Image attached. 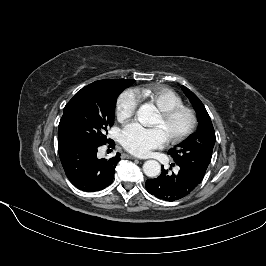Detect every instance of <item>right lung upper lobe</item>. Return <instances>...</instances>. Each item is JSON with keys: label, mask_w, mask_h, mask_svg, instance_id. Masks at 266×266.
<instances>
[{"label": "right lung upper lobe", "mask_w": 266, "mask_h": 266, "mask_svg": "<svg viewBox=\"0 0 266 266\" xmlns=\"http://www.w3.org/2000/svg\"><path fill=\"white\" fill-rule=\"evenodd\" d=\"M106 80H108V79H106ZM106 80H101V81H96V82H103V81H106Z\"/></svg>", "instance_id": "cb5924a9"}]
</instances>
